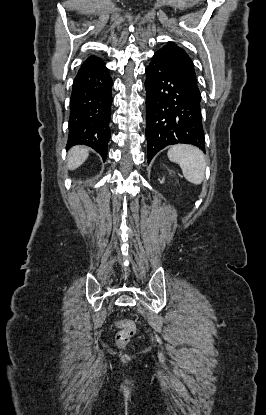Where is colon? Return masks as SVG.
Instances as JSON below:
<instances>
[{"label": "colon", "instance_id": "colon-1", "mask_svg": "<svg viewBox=\"0 0 266 415\" xmlns=\"http://www.w3.org/2000/svg\"><path fill=\"white\" fill-rule=\"evenodd\" d=\"M118 332L115 336L116 344L119 347H125L136 332L134 323L130 320H120L116 323Z\"/></svg>", "mask_w": 266, "mask_h": 415}]
</instances>
